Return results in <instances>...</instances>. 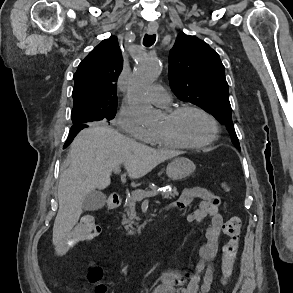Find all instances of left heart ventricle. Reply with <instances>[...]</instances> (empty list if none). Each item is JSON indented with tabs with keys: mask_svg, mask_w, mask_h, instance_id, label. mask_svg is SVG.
<instances>
[{
	"mask_svg": "<svg viewBox=\"0 0 293 293\" xmlns=\"http://www.w3.org/2000/svg\"><path fill=\"white\" fill-rule=\"evenodd\" d=\"M211 125L201 114L188 111L175 121L165 118L159 133L171 132L189 143H199L211 135Z\"/></svg>",
	"mask_w": 293,
	"mask_h": 293,
	"instance_id": "b2bd125f",
	"label": "left heart ventricle"
}]
</instances>
